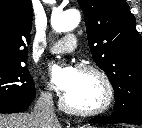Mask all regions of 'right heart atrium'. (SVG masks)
Here are the masks:
<instances>
[{
	"label": "right heart atrium",
	"mask_w": 142,
	"mask_h": 128,
	"mask_svg": "<svg viewBox=\"0 0 142 128\" xmlns=\"http://www.w3.org/2000/svg\"><path fill=\"white\" fill-rule=\"evenodd\" d=\"M41 96H42L44 99H50L51 96H52L51 88H50V87H46V88L41 92Z\"/></svg>",
	"instance_id": "1"
}]
</instances>
